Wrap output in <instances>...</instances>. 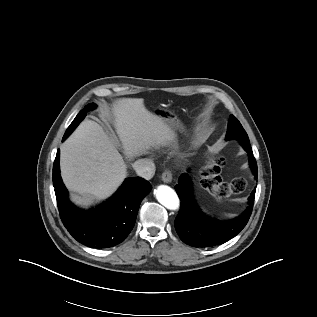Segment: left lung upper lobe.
Listing matches in <instances>:
<instances>
[{"instance_id":"obj_1","label":"left lung upper lobe","mask_w":317,"mask_h":317,"mask_svg":"<svg viewBox=\"0 0 317 317\" xmlns=\"http://www.w3.org/2000/svg\"><path fill=\"white\" fill-rule=\"evenodd\" d=\"M226 140H238L241 145H250L249 138L240 122L233 115L230 116Z\"/></svg>"}]
</instances>
